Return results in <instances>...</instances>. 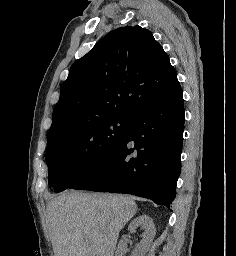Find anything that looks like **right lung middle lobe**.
I'll list each match as a JSON object with an SVG mask.
<instances>
[{
  "instance_id": "right-lung-middle-lobe-1",
  "label": "right lung middle lobe",
  "mask_w": 236,
  "mask_h": 256,
  "mask_svg": "<svg viewBox=\"0 0 236 256\" xmlns=\"http://www.w3.org/2000/svg\"><path fill=\"white\" fill-rule=\"evenodd\" d=\"M132 121L130 118L94 120L47 137L49 186L55 192L67 189L122 143Z\"/></svg>"
}]
</instances>
